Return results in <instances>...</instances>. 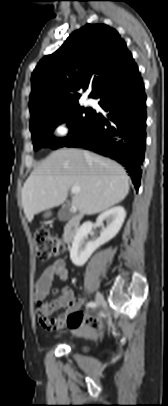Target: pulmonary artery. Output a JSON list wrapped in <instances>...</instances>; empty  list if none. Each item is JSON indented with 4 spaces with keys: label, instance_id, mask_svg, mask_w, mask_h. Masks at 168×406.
<instances>
[{
    "label": "pulmonary artery",
    "instance_id": "1",
    "mask_svg": "<svg viewBox=\"0 0 168 406\" xmlns=\"http://www.w3.org/2000/svg\"><path fill=\"white\" fill-rule=\"evenodd\" d=\"M86 103L87 104H92V100L88 98V99H86Z\"/></svg>",
    "mask_w": 168,
    "mask_h": 406
}]
</instances>
